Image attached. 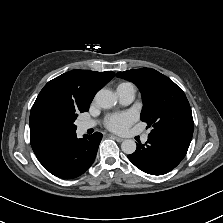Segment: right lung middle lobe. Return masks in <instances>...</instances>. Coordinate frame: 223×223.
I'll return each mask as SVG.
<instances>
[{"mask_svg": "<svg viewBox=\"0 0 223 223\" xmlns=\"http://www.w3.org/2000/svg\"><path fill=\"white\" fill-rule=\"evenodd\" d=\"M78 112L54 103H44L31 109L30 130L45 137L73 135L76 132L74 121Z\"/></svg>", "mask_w": 223, "mask_h": 223, "instance_id": "obj_1", "label": "right lung middle lobe"}]
</instances>
